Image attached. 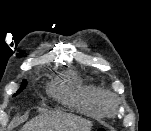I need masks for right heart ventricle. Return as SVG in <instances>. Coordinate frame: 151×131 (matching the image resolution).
Instances as JSON below:
<instances>
[{
	"label": "right heart ventricle",
	"instance_id": "right-heart-ventricle-1",
	"mask_svg": "<svg viewBox=\"0 0 151 131\" xmlns=\"http://www.w3.org/2000/svg\"><path fill=\"white\" fill-rule=\"evenodd\" d=\"M49 93L62 103L92 116L102 117L107 114L104 102L108 94L95 85L84 83L74 73H68L53 82Z\"/></svg>",
	"mask_w": 151,
	"mask_h": 131
}]
</instances>
